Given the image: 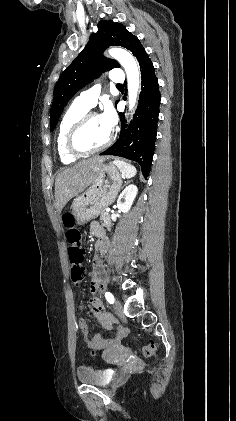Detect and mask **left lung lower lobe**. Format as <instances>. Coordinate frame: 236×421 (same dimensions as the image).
<instances>
[{
  "label": "left lung lower lobe",
  "mask_w": 236,
  "mask_h": 421,
  "mask_svg": "<svg viewBox=\"0 0 236 421\" xmlns=\"http://www.w3.org/2000/svg\"><path fill=\"white\" fill-rule=\"evenodd\" d=\"M141 69V92L134 118L125 129L124 114L121 119V134L119 139L109 149L100 155L121 156L140 164L144 177L149 176L152 157L154 155L157 123L160 105V92L154 67L148 54L138 46L133 52Z\"/></svg>",
  "instance_id": "0a47b994"
}]
</instances>
